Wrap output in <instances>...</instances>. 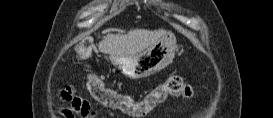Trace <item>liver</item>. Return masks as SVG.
<instances>
[{
	"mask_svg": "<svg viewBox=\"0 0 273 118\" xmlns=\"http://www.w3.org/2000/svg\"><path fill=\"white\" fill-rule=\"evenodd\" d=\"M167 31L131 29L128 33L112 34L108 33L102 41L99 42V50L102 53L112 55H135L154 44Z\"/></svg>",
	"mask_w": 273,
	"mask_h": 118,
	"instance_id": "liver-1",
	"label": "liver"
}]
</instances>
